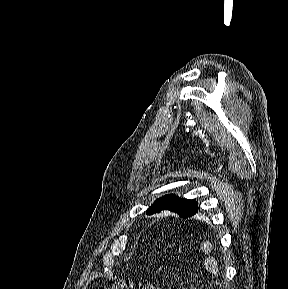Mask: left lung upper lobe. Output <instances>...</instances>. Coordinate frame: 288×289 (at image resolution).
I'll return each mask as SVG.
<instances>
[{
	"label": "left lung upper lobe",
	"instance_id": "1",
	"mask_svg": "<svg viewBox=\"0 0 288 289\" xmlns=\"http://www.w3.org/2000/svg\"><path fill=\"white\" fill-rule=\"evenodd\" d=\"M197 207V202L185 198H178L172 194L157 199L154 204L147 209L146 214L152 215L160 213L163 210H169L177 213L180 217L187 218Z\"/></svg>",
	"mask_w": 288,
	"mask_h": 289
}]
</instances>
